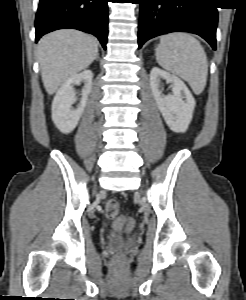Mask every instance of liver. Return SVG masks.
<instances>
[{"instance_id":"1","label":"liver","mask_w":246,"mask_h":300,"mask_svg":"<svg viewBox=\"0 0 246 300\" xmlns=\"http://www.w3.org/2000/svg\"><path fill=\"white\" fill-rule=\"evenodd\" d=\"M36 54L43 85L52 95L69 77L90 66L98 54V45L90 35L64 29L42 37Z\"/></svg>"}]
</instances>
